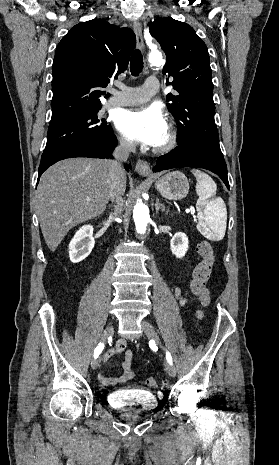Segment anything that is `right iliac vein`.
Segmentation results:
<instances>
[{"mask_svg":"<svg viewBox=\"0 0 279 465\" xmlns=\"http://www.w3.org/2000/svg\"><path fill=\"white\" fill-rule=\"evenodd\" d=\"M114 333V328L112 325H108L106 329L104 330L102 337H101V343H105L109 337H111ZM100 364V357L94 358L91 361V367L93 369H96Z\"/></svg>","mask_w":279,"mask_h":465,"instance_id":"obj_1","label":"right iliac vein"}]
</instances>
